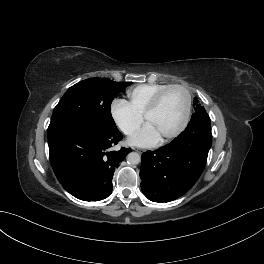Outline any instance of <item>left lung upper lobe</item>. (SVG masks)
I'll return each instance as SVG.
<instances>
[{
  "instance_id": "5c2ea615",
  "label": "left lung upper lobe",
  "mask_w": 264,
  "mask_h": 264,
  "mask_svg": "<svg viewBox=\"0 0 264 264\" xmlns=\"http://www.w3.org/2000/svg\"><path fill=\"white\" fill-rule=\"evenodd\" d=\"M198 102H199L198 99L195 98V99H194V107H195V111H198V109H200V108L202 107ZM204 115H205V117H208V118H209V116H208V114L206 113V110H205V109H204Z\"/></svg>"
}]
</instances>
